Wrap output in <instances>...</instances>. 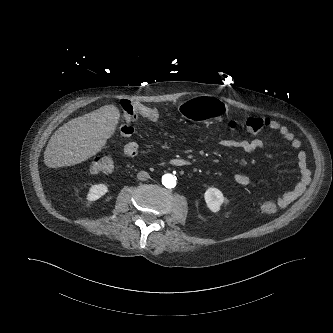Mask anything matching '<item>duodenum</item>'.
<instances>
[{
	"label": "duodenum",
	"mask_w": 333,
	"mask_h": 333,
	"mask_svg": "<svg viewBox=\"0 0 333 333\" xmlns=\"http://www.w3.org/2000/svg\"><path fill=\"white\" fill-rule=\"evenodd\" d=\"M168 165L175 166V167H185L189 163L187 160L182 159V158H171L165 162Z\"/></svg>",
	"instance_id": "obj_1"
}]
</instances>
